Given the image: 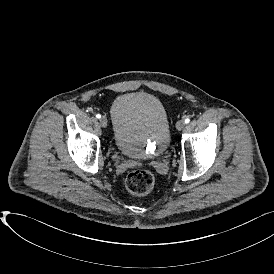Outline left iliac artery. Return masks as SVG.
<instances>
[{
	"label": "left iliac artery",
	"mask_w": 274,
	"mask_h": 274,
	"mask_svg": "<svg viewBox=\"0 0 274 274\" xmlns=\"http://www.w3.org/2000/svg\"><path fill=\"white\" fill-rule=\"evenodd\" d=\"M190 122V119L189 118H186L185 119V123L188 124Z\"/></svg>",
	"instance_id": "obj_1"
}]
</instances>
